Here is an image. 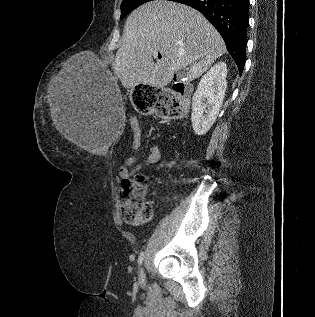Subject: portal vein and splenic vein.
<instances>
[{
  "mask_svg": "<svg viewBox=\"0 0 315 317\" xmlns=\"http://www.w3.org/2000/svg\"><path fill=\"white\" fill-rule=\"evenodd\" d=\"M191 70L194 71V70H195V67H192Z\"/></svg>",
  "mask_w": 315,
  "mask_h": 317,
  "instance_id": "portal-vein-and-splenic-vein-1",
  "label": "portal vein and splenic vein"
}]
</instances>
